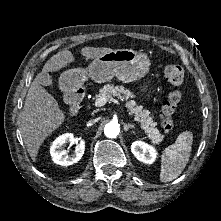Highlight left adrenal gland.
Returning a JSON list of instances; mask_svg holds the SVG:
<instances>
[{
  "label": "left adrenal gland",
  "instance_id": "a2214340",
  "mask_svg": "<svg viewBox=\"0 0 221 221\" xmlns=\"http://www.w3.org/2000/svg\"><path fill=\"white\" fill-rule=\"evenodd\" d=\"M129 129H134V125L130 123H124V131L127 132Z\"/></svg>",
  "mask_w": 221,
  "mask_h": 221
}]
</instances>
